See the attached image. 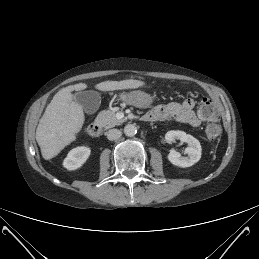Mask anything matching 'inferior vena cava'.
<instances>
[{"instance_id": "obj_1", "label": "inferior vena cava", "mask_w": 259, "mask_h": 259, "mask_svg": "<svg viewBox=\"0 0 259 259\" xmlns=\"http://www.w3.org/2000/svg\"><path fill=\"white\" fill-rule=\"evenodd\" d=\"M106 135H107V139L108 140L113 141V140L119 139L121 137V135H122V132L120 130H118V129H110L106 133Z\"/></svg>"}]
</instances>
